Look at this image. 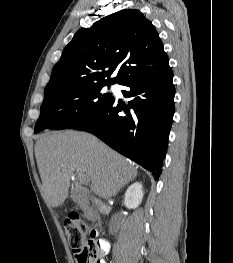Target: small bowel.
I'll use <instances>...</instances> for the list:
<instances>
[{"mask_svg": "<svg viewBox=\"0 0 233 263\" xmlns=\"http://www.w3.org/2000/svg\"><path fill=\"white\" fill-rule=\"evenodd\" d=\"M100 244H101V259L100 263H106L105 257L108 255L110 251V243L105 240V239H100Z\"/></svg>", "mask_w": 233, "mask_h": 263, "instance_id": "1", "label": "small bowel"}]
</instances>
